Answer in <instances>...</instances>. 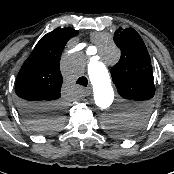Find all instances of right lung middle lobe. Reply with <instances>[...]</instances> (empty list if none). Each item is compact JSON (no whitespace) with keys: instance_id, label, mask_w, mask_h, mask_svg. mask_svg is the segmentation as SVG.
<instances>
[{"instance_id":"dd1d6c3e","label":"right lung middle lobe","mask_w":174,"mask_h":174,"mask_svg":"<svg viewBox=\"0 0 174 174\" xmlns=\"http://www.w3.org/2000/svg\"><path fill=\"white\" fill-rule=\"evenodd\" d=\"M61 108L46 115H37L35 119L27 121L32 130L37 133H49L61 126Z\"/></svg>"}]
</instances>
